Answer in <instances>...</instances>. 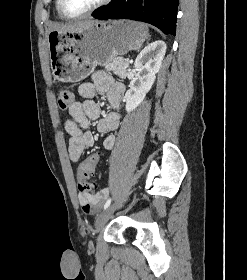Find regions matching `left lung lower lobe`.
I'll return each instance as SVG.
<instances>
[{
  "label": "left lung lower lobe",
  "instance_id": "obj_1",
  "mask_svg": "<svg viewBox=\"0 0 247 280\" xmlns=\"http://www.w3.org/2000/svg\"><path fill=\"white\" fill-rule=\"evenodd\" d=\"M179 0H112L93 17L126 18L150 23L165 34L175 35Z\"/></svg>",
  "mask_w": 247,
  "mask_h": 280
}]
</instances>
